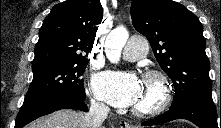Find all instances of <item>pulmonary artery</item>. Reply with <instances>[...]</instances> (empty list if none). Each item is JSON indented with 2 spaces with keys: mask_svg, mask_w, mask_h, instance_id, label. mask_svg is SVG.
Wrapping results in <instances>:
<instances>
[{
  "mask_svg": "<svg viewBox=\"0 0 221 128\" xmlns=\"http://www.w3.org/2000/svg\"><path fill=\"white\" fill-rule=\"evenodd\" d=\"M148 50V43L140 37H133L128 40L123 50V59L126 61H134L145 55Z\"/></svg>",
  "mask_w": 221,
  "mask_h": 128,
  "instance_id": "e3ab8cb5",
  "label": "pulmonary artery"
}]
</instances>
